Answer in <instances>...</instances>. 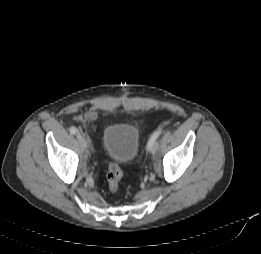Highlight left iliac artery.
Wrapping results in <instances>:
<instances>
[{
    "label": "left iliac artery",
    "mask_w": 261,
    "mask_h": 254,
    "mask_svg": "<svg viewBox=\"0 0 261 254\" xmlns=\"http://www.w3.org/2000/svg\"><path fill=\"white\" fill-rule=\"evenodd\" d=\"M164 131L162 129L156 130L150 137L148 143H147V150L150 151L153 147L154 143L156 142L157 138L163 133Z\"/></svg>",
    "instance_id": "left-iliac-artery-1"
}]
</instances>
